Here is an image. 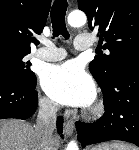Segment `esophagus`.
<instances>
[{
	"mask_svg": "<svg viewBox=\"0 0 139 150\" xmlns=\"http://www.w3.org/2000/svg\"><path fill=\"white\" fill-rule=\"evenodd\" d=\"M75 120L73 118L68 119L65 122V133L67 136H72L74 132Z\"/></svg>",
	"mask_w": 139,
	"mask_h": 150,
	"instance_id": "esophagus-1",
	"label": "esophagus"
}]
</instances>
